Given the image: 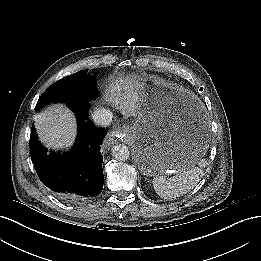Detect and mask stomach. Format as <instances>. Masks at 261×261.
<instances>
[{
  "instance_id": "obj_1",
  "label": "stomach",
  "mask_w": 261,
  "mask_h": 261,
  "mask_svg": "<svg viewBox=\"0 0 261 261\" xmlns=\"http://www.w3.org/2000/svg\"><path fill=\"white\" fill-rule=\"evenodd\" d=\"M190 93L170 84H146L139 113L126 138L139 170L150 176L194 167L207 150L203 134L194 132L185 117Z\"/></svg>"
}]
</instances>
